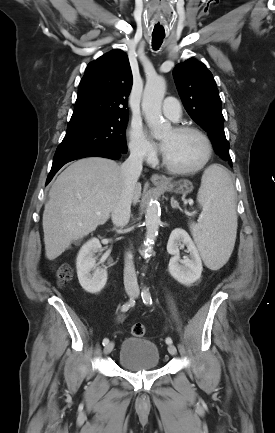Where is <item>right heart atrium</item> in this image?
Wrapping results in <instances>:
<instances>
[{
    "label": "right heart atrium",
    "mask_w": 275,
    "mask_h": 433,
    "mask_svg": "<svg viewBox=\"0 0 275 433\" xmlns=\"http://www.w3.org/2000/svg\"><path fill=\"white\" fill-rule=\"evenodd\" d=\"M129 149L134 158L142 161H152L156 155L154 144L139 123H133L129 129Z\"/></svg>",
    "instance_id": "right-heart-atrium-1"
}]
</instances>
